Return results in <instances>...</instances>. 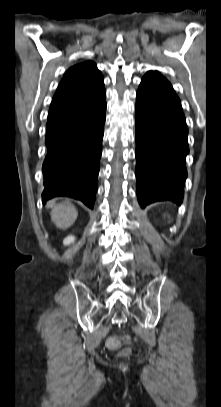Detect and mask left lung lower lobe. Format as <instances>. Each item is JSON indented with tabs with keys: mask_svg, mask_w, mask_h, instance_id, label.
<instances>
[{
	"mask_svg": "<svg viewBox=\"0 0 221 407\" xmlns=\"http://www.w3.org/2000/svg\"><path fill=\"white\" fill-rule=\"evenodd\" d=\"M181 102L163 76L143 77L136 100L137 197L142 208L183 201L189 153Z\"/></svg>",
	"mask_w": 221,
	"mask_h": 407,
	"instance_id": "0a47b994",
	"label": "left lung lower lobe"
}]
</instances>
